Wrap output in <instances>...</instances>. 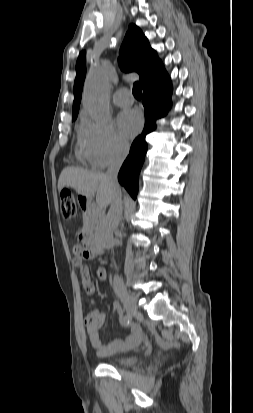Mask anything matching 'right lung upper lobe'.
Wrapping results in <instances>:
<instances>
[{
  "mask_svg": "<svg viewBox=\"0 0 253 413\" xmlns=\"http://www.w3.org/2000/svg\"><path fill=\"white\" fill-rule=\"evenodd\" d=\"M119 65L125 72H137L142 85L159 76L167 75L157 53L150 47L142 31L134 24L129 26L122 43ZM85 75V52H82L76 63L72 119L77 118L78 115Z\"/></svg>",
  "mask_w": 253,
  "mask_h": 413,
  "instance_id": "right-lung-upper-lobe-1",
  "label": "right lung upper lobe"
}]
</instances>
